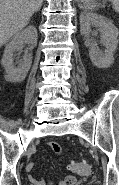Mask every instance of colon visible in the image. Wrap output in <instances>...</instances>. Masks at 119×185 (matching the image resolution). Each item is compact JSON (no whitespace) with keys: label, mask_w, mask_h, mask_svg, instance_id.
<instances>
[{"label":"colon","mask_w":119,"mask_h":185,"mask_svg":"<svg viewBox=\"0 0 119 185\" xmlns=\"http://www.w3.org/2000/svg\"><path fill=\"white\" fill-rule=\"evenodd\" d=\"M68 169L80 176H88L91 173V167L85 162L71 161L68 164Z\"/></svg>","instance_id":"obj_1"}]
</instances>
